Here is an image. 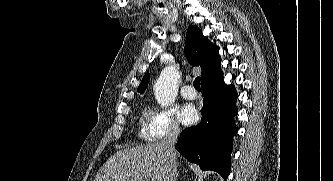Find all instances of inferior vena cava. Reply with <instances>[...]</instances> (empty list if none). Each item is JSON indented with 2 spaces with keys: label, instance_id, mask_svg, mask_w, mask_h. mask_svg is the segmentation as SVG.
Masks as SVG:
<instances>
[{
  "label": "inferior vena cava",
  "instance_id": "602c4592",
  "mask_svg": "<svg viewBox=\"0 0 333 181\" xmlns=\"http://www.w3.org/2000/svg\"><path fill=\"white\" fill-rule=\"evenodd\" d=\"M180 129L177 125H173L168 131L166 136L161 141V146L164 148L168 157V171L166 175V181H174L177 173L176 164V151L174 145L177 142Z\"/></svg>",
  "mask_w": 333,
  "mask_h": 181
}]
</instances>
